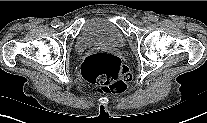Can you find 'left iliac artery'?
Segmentation results:
<instances>
[{"label":"left iliac artery","mask_w":207,"mask_h":123,"mask_svg":"<svg viewBox=\"0 0 207 123\" xmlns=\"http://www.w3.org/2000/svg\"><path fill=\"white\" fill-rule=\"evenodd\" d=\"M149 18L152 21H158V17L156 15H151Z\"/></svg>","instance_id":"obj_1"}]
</instances>
